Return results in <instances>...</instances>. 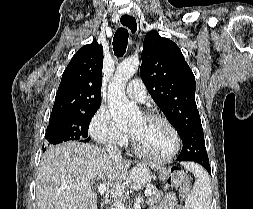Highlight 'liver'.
<instances>
[{
  "label": "liver",
  "mask_w": 253,
  "mask_h": 209,
  "mask_svg": "<svg viewBox=\"0 0 253 209\" xmlns=\"http://www.w3.org/2000/svg\"><path fill=\"white\" fill-rule=\"evenodd\" d=\"M130 165L127 160L110 158L92 144L66 142L52 146L38 168L37 209H97V195L92 190L98 181L113 187L112 197L121 196L126 188L138 190L150 180V172L144 164L128 172Z\"/></svg>",
  "instance_id": "liver-1"
}]
</instances>
